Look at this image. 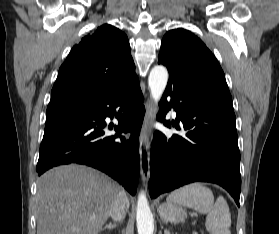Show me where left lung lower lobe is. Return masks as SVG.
Segmentation results:
<instances>
[{"mask_svg":"<svg viewBox=\"0 0 279 234\" xmlns=\"http://www.w3.org/2000/svg\"><path fill=\"white\" fill-rule=\"evenodd\" d=\"M168 71L169 80L157 118L171 127L165 115L174 108L176 123L172 126L186 133L171 138L159 131L154 133L149 181L151 197L188 183L205 181L225 188L239 206L240 152L230 92Z\"/></svg>","mask_w":279,"mask_h":234,"instance_id":"obj_1","label":"left lung lower lobe"}]
</instances>
